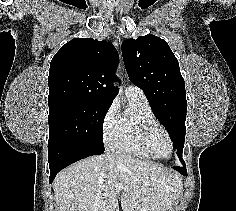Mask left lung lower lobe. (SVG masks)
Masks as SVG:
<instances>
[{"label":"left lung lower lobe","mask_w":236,"mask_h":211,"mask_svg":"<svg viewBox=\"0 0 236 211\" xmlns=\"http://www.w3.org/2000/svg\"><path fill=\"white\" fill-rule=\"evenodd\" d=\"M184 167H179V166H176V167H173V169L177 170L179 173H181L182 175L184 176H187V171H186V167H185V164H183Z\"/></svg>","instance_id":"0a47b994"}]
</instances>
